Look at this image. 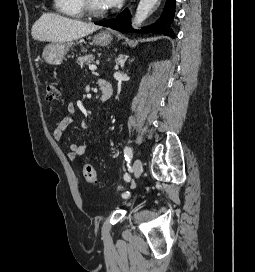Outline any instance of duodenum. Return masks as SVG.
<instances>
[{
    "mask_svg": "<svg viewBox=\"0 0 255 272\" xmlns=\"http://www.w3.org/2000/svg\"><path fill=\"white\" fill-rule=\"evenodd\" d=\"M98 84L101 91V100L103 102L109 100L113 95V87L111 83L107 79L102 78L98 81Z\"/></svg>",
    "mask_w": 255,
    "mask_h": 272,
    "instance_id": "410a0bca",
    "label": "duodenum"
}]
</instances>
